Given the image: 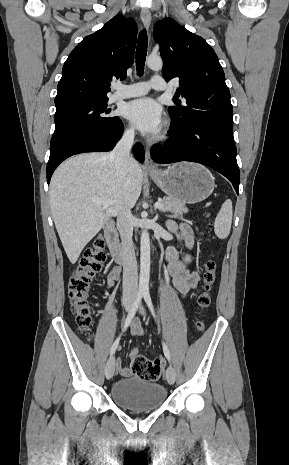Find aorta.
I'll return each mask as SVG.
<instances>
[{
  "mask_svg": "<svg viewBox=\"0 0 289 465\" xmlns=\"http://www.w3.org/2000/svg\"><path fill=\"white\" fill-rule=\"evenodd\" d=\"M147 66L155 71L163 67V61L160 56L150 55L146 59ZM150 278V238L147 229H143L140 238V276L139 290L148 291Z\"/></svg>",
  "mask_w": 289,
  "mask_h": 465,
  "instance_id": "aorta-1",
  "label": "aorta"
}]
</instances>
